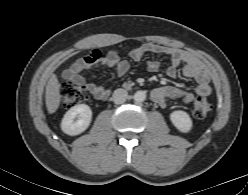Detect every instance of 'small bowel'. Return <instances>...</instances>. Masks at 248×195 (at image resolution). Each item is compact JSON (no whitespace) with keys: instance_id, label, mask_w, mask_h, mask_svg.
Instances as JSON below:
<instances>
[{"instance_id":"1","label":"small bowel","mask_w":248,"mask_h":195,"mask_svg":"<svg viewBox=\"0 0 248 195\" xmlns=\"http://www.w3.org/2000/svg\"><path fill=\"white\" fill-rule=\"evenodd\" d=\"M149 53L162 54L169 58L170 62L166 70L169 77H175L178 67L182 66L183 75L197 83L194 92L173 85H164L153 89L152 98L159 105L164 106L167 99H180L185 104H191L195 95L204 97L211 93L209 71L191 54L159 44L146 43L134 48L130 52V58L140 61ZM146 66L147 70L152 73L159 70V63L154 60L148 61ZM102 67L112 69L117 74H124L129 70L130 64L128 60L120 59L115 51H110L106 55H102L99 51H93L74 62L63 72V76L75 84L84 85L96 99L103 100L108 97L109 88L92 82L86 83L82 76L83 72Z\"/></svg>"}]
</instances>
